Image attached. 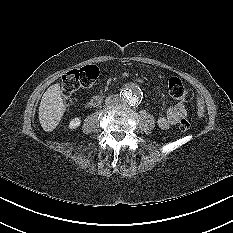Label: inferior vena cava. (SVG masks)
<instances>
[{
  "instance_id": "inferior-vena-cava-1",
  "label": "inferior vena cava",
  "mask_w": 233,
  "mask_h": 233,
  "mask_svg": "<svg viewBox=\"0 0 233 233\" xmlns=\"http://www.w3.org/2000/svg\"><path fill=\"white\" fill-rule=\"evenodd\" d=\"M105 104L108 106H116L120 104V98L118 95H111L106 98Z\"/></svg>"
}]
</instances>
